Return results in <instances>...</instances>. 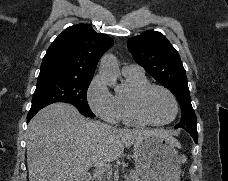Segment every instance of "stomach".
Segmentation results:
<instances>
[{
  "label": "stomach",
  "instance_id": "obj_1",
  "mask_svg": "<svg viewBox=\"0 0 228 181\" xmlns=\"http://www.w3.org/2000/svg\"><path fill=\"white\" fill-rule=\"evenodd\" d=\"M133 153L141 181H180V157L167 137L147 135L134 145Z\"/></svg>",
  "mask_w": 228,
  "mask_h": 181
}]
</instances>
